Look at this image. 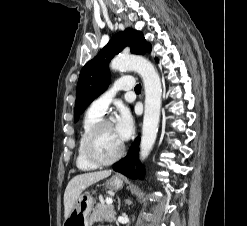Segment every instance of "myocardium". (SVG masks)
I'll list each match as a JSON object with an SVG mask.
<instances>
[{"label":"myocardium","instance_id":"myocardium-1","mask_svg":"<svg viewBox=\"0 0 247 226\" xmlns=\"http://www.w3.org/2000/svg\"><path fill=\"white\" fill-rule=\"evenodd\" d=\"M113 125L110 120L103 119L98 121L95 125H93L90 130L86 133L84 140H83V152L85 158L95 166H108L115 162H117L119 159L123 157L125 154V144H122L119 152L109 158V159H100L95 155V153L92 150V141L94 137L105 127Z\"/></svg>","mask_w":247,"mask_h":226}]
</instances>
